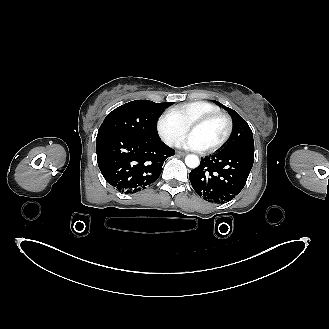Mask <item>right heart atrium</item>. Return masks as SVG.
Here are the masks:
<instances>
[{
	"mask_svg": "<svg viewBox=\"0 0 329 329\" xmlns=\"http://www.w3.org/2000/svg\"><path fill=\"white\" fill-rule=\"evenodd\" d=\"M156 131L161 140L168 146H175L185 135L186 126L168 110L161 114L156 121Z\"/></svg>",
	"mask_w": 329,
	"mask_h": 329,
	"instance_id": "obj_1",
	"label": "right heart atrium"
}]
</instances>
